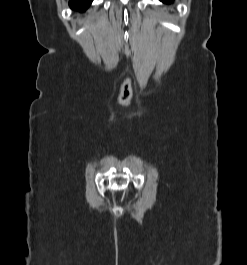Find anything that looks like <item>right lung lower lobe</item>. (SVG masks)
Returning <instances> with one entry per match:
<instances>
[{
  "label": "right lung lower lobe",
  "instance_id": "obj_1",
  "mask_svg": "<svg viewBox=\"0 0 247 265\" xmlns=\"http://www.w3.org/2000/svg\"><path fill=\"white\" fill-rule=\"evenodd\" d=\"M91 2L92 0H70L69 5L73 9L84 11Z\"/></svg>",
  "mask_w": 247,
  "mask_h": 265
}]
</instances>
